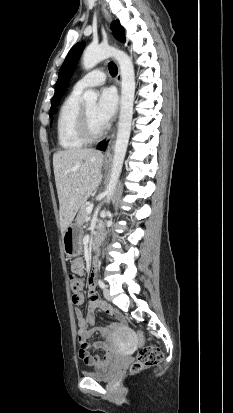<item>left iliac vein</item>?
<instances>
[{"label": "left iliac vein", "instance_id": "obj_1", "mask_svg": "<svg viewBox=\"0 0 233 413\" xmlns=\"http://www.w3.org/2000/svg\"><path fill=\"white\" fill-rule=\"evenodd\" d=\"M103 294H104V297H105L107 300H111L110 292H109V290H108L107 287L104 288Z\"/></svg>", "mask_w": 233, "mask_h": 413}]
</instances>
